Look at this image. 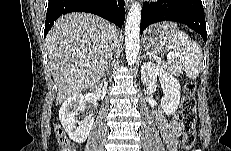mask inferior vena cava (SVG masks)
Masks as SVG:
<instances>
[{
  "label": "inferior vena cava",
  "mask_w": 231,
  "mask_h": 151,
  "mask_svg": "<svg viewBox=\"0 0 231 151\" xmlns=\"http://www.w3.org/2000/svg\"><path fill=\"white\" fill-rule=\"evenodd\" d=\"M115 35H116V30L114 31L113 37H112L110 44H109V52H110L109 56H111L112 50H114L117 46V40L115 38L116 37Z\"/></svg>",
  "instance_id": "602c4592"
}]
</instances>
